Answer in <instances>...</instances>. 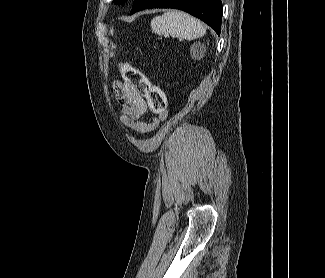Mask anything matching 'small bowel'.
Masks as SVG:
<instances>
[{
  "label": "small bowel",
  "mask_w": 325,
  "mask_h": 278,
  "mask_svg": "<svg viewBox=\"0 0 325 278\" xmlns=\"http://www.w3.org/2000/svg\"><path fill=\"white\" fill-rule=\"evenodd\" d=\"M113 90L118 101L123 105L121 119L123 123L138 133L154 130L166 113H160L147 119L148 105L143 96L127 82L115 81Z\"/></svg>",
  "instance_id": "c3829d8e"
}]
</instances>
